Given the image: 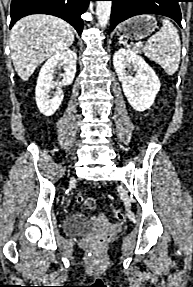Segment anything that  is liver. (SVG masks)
<instances>
[{
  "label": "liver",
  "instance_id": "1",
  "mask_svg": "<svg viewBox=\"0 0 193 287\" xmlns=\"http://www.w3.org/2000/svg\"><path fill=\"white\" fill-rule=\"evenodd\" d=\"M74 41V29L66 21L50 15H30L20 19L10 32L13 65L27 81L47 58L66 51Z\"/></svg>",
  "mask_w": 193,
  "mask_h": 287
}]
</instances>
